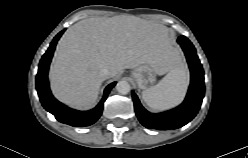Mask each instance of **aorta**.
I'll return each instance as SVG.
<instances>
[{"instance_id": "1", "label": "aorta", "mask_w": 248, "mask_h": 158, "mask_svg": "<svg viewBox=\"0 0 248 158\" xmlns=\"http://www.w3.org/2000/svg\"><path fill=\"white\" fill-rule=\"evenodd\" d=\"M116 90L120 94H127L130 91V84L125 80H121L116 84Z\"/></svg>"}]
</instances>
